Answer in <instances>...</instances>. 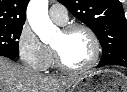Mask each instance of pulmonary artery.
I'll use <instances>...</instances> for the list:
<instances>
[{
    "instance_id": "1",
    "label": "pulmonary artery",
    "mask_w": 127,
    "mask_h": 92,
    "mask_svg": "<svg viewBox=\"0 0 127 92\" xmlns=\"http://www.w3.org/2000/svg\"><path fill=\"white\" fill-rule=\"evenodd\" d=\"M49 16L53 21L61 25L65 24L68 20L67 9L59 3H55L49 8Z\"/></svg>"
}]
</instances>
